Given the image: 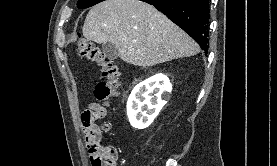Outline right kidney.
Masks as SVG:
<instances>
[{"label":"right kidney","instance_id":"1","mask_svg":"<svg viewBox=\"0 0 277 166\" xmlns=\"http://www.w3.org/2000/svg\"><path fill=\"white\" fill-rule=\"evenodd\" d=\"M171 90L172 85L163 74H157L136 85L127 101L130 124L137 129L148 127L167 103Z\"/></svg>","mask_w":277,"mask_h":166}]
</instances>
